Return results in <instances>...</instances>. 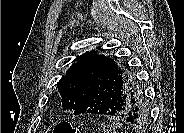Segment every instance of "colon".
<instances>
[{
  "instance_id": "1",
  "label": "colon",
  "mask_w": 184,
  "mask_h": 133,
  "mask_svg": "<svg viewBox=\"0 0 184 133\" xmlns=\"http://www.w3.org/2000/svg\"><path fill=\"white\" fill-rule=\"evenodd\" d=\"M54 133H78V130L68 122H61L55 126Z\"/></svg>"
}]
</instances>
